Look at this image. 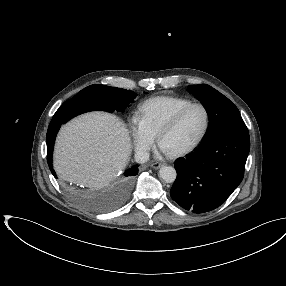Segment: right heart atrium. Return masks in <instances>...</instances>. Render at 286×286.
I'll return each mask as SVG.
<instances>
[{
	"instance_id": "1",
	"label": "right heart atrium",
	"mask_w": 286,
	"mask_h": 286,
	"mask_svg": "<svg viewBox=\"0 0 286 286\" xmlns=\"http://www.w3.org/2000/svg\"><path fill=\"white\" fill-rule=\"evenodd\" d=\"M130 133L135 148L141 152H148L155 142V136L145 127L139 117H133L130 122Z\"/></svg>"
}]
</instances>
